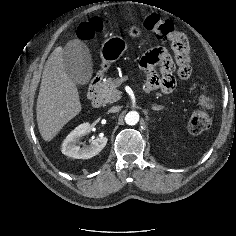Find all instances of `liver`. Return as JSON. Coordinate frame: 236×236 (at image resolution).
<instances>
[{
  "label": "liver",
  "instance_id": "liver-1",
  "mask_svg": "<svg viewBox=\"0 0 236 236\" xmlns=\"http://www.w3.org/2000/svg\"><path fill=\"white\" fill-rule=\"evenodd\" d=\"M63 52L56 47L46 61L37 99L38 129L46 142L82 110L77 87L64 68Z\"/></svg>",
  "mask_w": 236,
  "mask_h": 236
}]
</instances>
